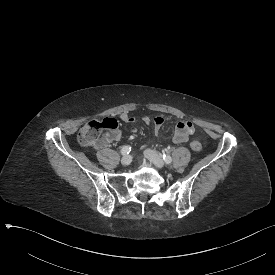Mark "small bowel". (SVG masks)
Here are the masks:
<instances>
[{
  "label": "small bowel",
  "instance_id": "1",
  "mask_svg": "<svg viewBox=\"0 0 275 275\" xmlns=\"http://www.w3.org/2000/svg\"><path fill=\"white\" fill-rule=\"evenodd\" d=\"M120 119L123 122L134 124L136 122V117L128 113H122ZM164 119L162 117H157L154 120L155 133H158ZM195 132L194 124L191 121H180L176 125V129L173 135V141L177 144L186 142Z\"/></svg>",
  "mask_w": 275,
  "mask_h": 275
}]
</instances>
